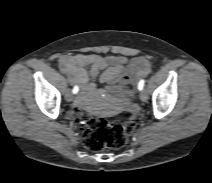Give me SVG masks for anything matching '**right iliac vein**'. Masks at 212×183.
<instances>
[{"label":"right iliac vein","instance_id":"right-iliac-vein-1","mask_svg":"<svg viewBox=\"0 0 212 183\" xmlns=\"http://www.w3.org/2000/svg\"><path fill=\"white\" fill-rule=\"evenodd\" d=\"M65 97H66V100L68 102H71L73 100V94H72V92L71 91H67Z\"/></svg>","mask_w":212,"mask_h":183}]
</instances>
